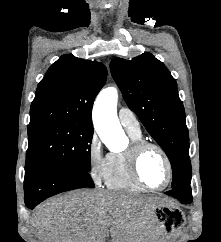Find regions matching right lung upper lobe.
I'll return each instance as SVG.
<instances>
[{"label": "right lung upper lobe", "mask_w": 221, "mask_h": 242, "mask_svg": "<svg viewBox=\"0 0 221 242\" xmlns=\"http://www.w3.org/2000/svg\"><path fill=\"white\" fill-rule=\"evenodd\" d=\"M106 78L107 69L102 63L71 54L61 56L38 84L29 126L52 122L92 126L93 102Z\"/></svg>", "instance_id": "right-lung-upper-lobe-1"}]
</instances>
